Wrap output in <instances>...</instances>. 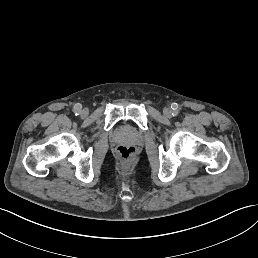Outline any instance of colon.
Here are the masks:
<instances>
[{
	"instance_id": "obj_1",
	"label": "colon",
	"mask_w": 258,
	"mask_h": 258,
	"mask_svg": "<svg viewBox=\"0 0 258 258\" xmlns=\"http://www.w3.org/2000/svg\"><path fill=\"white\" fill-rule=\"evenodd\" d=\"M116 154L120 160H122L123 162H128L135 157L136 150L134 147L119 146L116 149Z\"/></svg>"
}]
</instances>
